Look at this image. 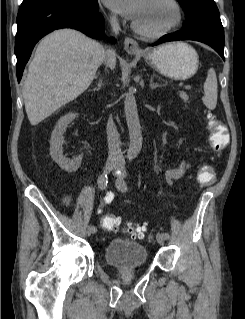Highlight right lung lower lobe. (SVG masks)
<instances>
[{
    "instance_id": "obj_1",
    "label": "right lung lower lobe",
    "mask_w": 245,
    "mask_h": 319,
    "mask_svg": "<svg viewBox=\"0 0 245 319\" xmlns=\"http://www.w3.org/2000/svg\"><path fill=\"white\" fill-rule=\"evenodd\" d=\"M17 25L15 54L18 82L35 44L49 32L58 28H74L92 38H102L104 32V18L98 13L97 0H57L20 7Z\"/></svg>"
}]
</instances>
